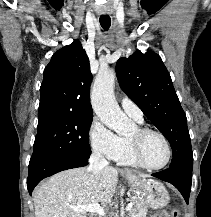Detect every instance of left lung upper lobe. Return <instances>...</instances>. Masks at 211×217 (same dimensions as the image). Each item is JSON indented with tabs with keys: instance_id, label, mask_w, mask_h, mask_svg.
Returning <instances> with one entry per match:
<instances>
[{
	"instance_id": "left-lung-upper-lobe-1",
	"label": "left lung upper lobe",
	"mask_w": 211,
	"mask_h": 217,
	"mask_svg": "<svg viewBox=\"0 0 211 217\" xmlns=\"http://www.w3.org/2000/svg\"><path fill=\"white\" fill-rule=\"evenodd\" d=\"M116 74L122 90L170 142V167L192 168L187 118L160 56L137 50L117 61Z\"/></svg>"
}]
</instances>
